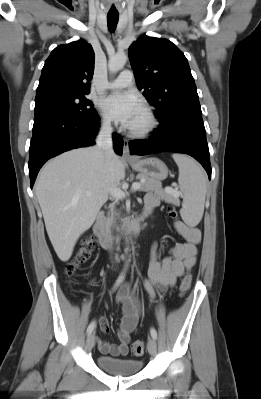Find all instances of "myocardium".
I'll list each match as a JSON object with an SVG mask.
<instances>
[{"label":"myocardium","mask_w":261,"mask_h":399,"mask_svg":"<svg viewBox=\"0 0 261 399\" xmlns=\"http://www.w3.org/2000/svg\"><path fill=\"white\" fill-rule=\"evenodd\" d=\"M143 114L145 117L144 125L140 128H130L129 129V134L133 137H137V138L146 137V136L150 135L151 133H153L159 125L156 115L153 113V111L149 107L145 106L143 108Z\"/></svg>","instance_id":"1"}]
</instances>
